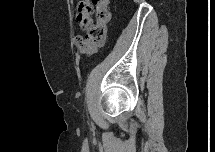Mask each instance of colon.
Segmentation results:
<instances>
[{"mask_svg": "<svg viewBox=\"0 0 215 152\" xmlns=\"http://www.w3.org/2000/svg\"><path fill=\"white\" fill-rule=\"evenodd\" d=\"M96 16V23L92 15ZM77 20L87 30L85 37H78L77 43L83 53H92L106 41V29L111 20L108 0H81L78 3Z\"/></svg>", "mask_w": 215, "mask_h": 152, "instance_id": "5ec220e1", "label": "colon"}]
</instances>
